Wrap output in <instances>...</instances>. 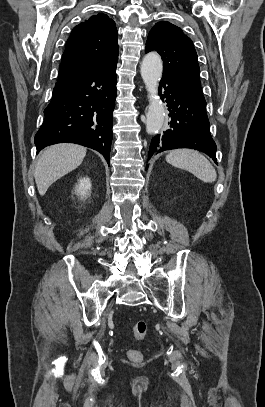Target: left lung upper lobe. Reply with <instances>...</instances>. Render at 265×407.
<instances>
[{
	"instance_id": "obj_1",
	"label": "left lung upper lobe",
	"mask_w": 265,
	"mask_h": 407,
	"mask_svg": "<svg viewBox=\"0 0 265 407\" xmlns=\"http://www.w3.org/2000/svg\"><path fill=\"white\" fill-rule=\"evenodd\" d=\"M157 51L163 60V77L205 100L201 90L197 53L182 30L166 21L155 24L148 34L145 52Z\"/></svg>"
}]
</instances>
